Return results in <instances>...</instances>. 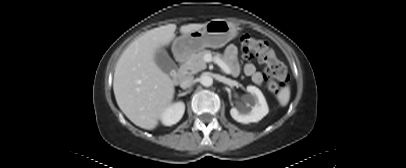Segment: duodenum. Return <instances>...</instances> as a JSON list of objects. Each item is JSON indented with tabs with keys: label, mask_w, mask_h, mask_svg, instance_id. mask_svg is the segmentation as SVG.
<instances>
[{
	"label": "duodenum",
	"mask_w": 406,
	"mask_h": 168,
	"mask_svg": "<svg viewBox=\"0 0 406 168\" xmlns=\"http://www.w3.org/2000/svg\"><path fill=\"white\" fill-rule=\"evenodd\" d=\"M184 61H185V58H184V56H182V55H178L177 56V65H178V68H177V71H176V73L173 75V77H172V80L174 81V82H179L180 81V79H181V77L184 75V68H183V65H184Z\"/></svg>",
	"instance_id": "obj_1"
}]
</instances>
